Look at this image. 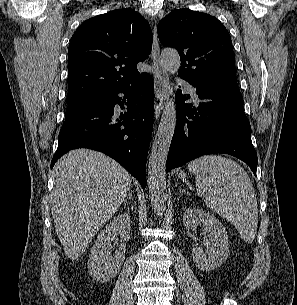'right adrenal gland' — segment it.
I'll list each match as a JSON object with an SVG mask.
<instances>
[{
	"label": "right adrenal gland",
	"mask_w": 297,
	"mask_h": 305,
	"mask_svg": "<svg viewBox=\"0 0 297 305\" xmlns=\"http://www.w3.org/2000/svg\"><path fill=\"white\" fill-rule=\"evenodd\" d=\"M128 199L134 200V198L132 196V190H129L128 196L124 200V204L127 202Z\"/></svg>",
	"instance_id": "2a0ac1e0"
}]
</instances>
